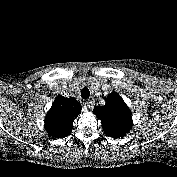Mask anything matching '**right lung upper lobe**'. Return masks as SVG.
<instances>
[{
    "instance_id": "right-lung-upper-lobe-1",
    "label": "right lung upper lobe",
    "mask_w": 177,
    "mask_h": 177,
    "mask_svg": "<svg viewBox=\"0 0 177 177\" xmlns=\"http://www.w3.org/2000/svg\"><path fill=\"white\" fill-rule=\"evenodd\" d=\"M81 104L75 98L58 95L45 117V129L52 138L71 134L73 121L81 113Z\"/></svg>"
}]
</instances>
